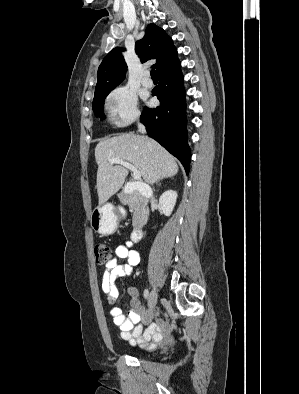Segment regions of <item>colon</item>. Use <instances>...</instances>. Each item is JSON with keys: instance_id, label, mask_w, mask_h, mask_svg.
<instances>
[{"instance_id": "obj_1", "label": "colon", "mask_w": 299, "mask_h": 394, "mask_svg": "<svg viewBox=\"0 0 299 394\" xmlns=\"http://www.w3.org/2000/svg\"><path fill=\"white\" fill-rule=\"evenodd\" d=\"M96 262L99 265H106L113 259L112 250L109 245L98 243L94 247Z\"/></svg>"}]
</instances>
